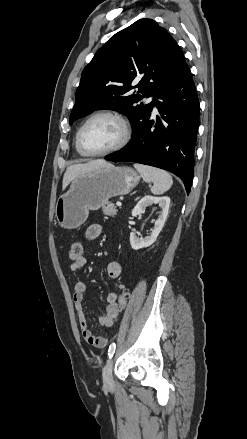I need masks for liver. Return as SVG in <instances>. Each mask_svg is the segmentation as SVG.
<instances>
[{
	"mask_svg": "<svg viewBox=\"0 0 247 439\" xmlns=\"http://www.w3.org/2000/svg\"><path fill=\"white\" fill-rule=\"evenodd\" d=\"M110 165V163L103 159L92 160L84 164L71 165L64 174L62 189L65 190L69 183L76 177Z\"/></svg>",
	"mask_w": 247,
	"mask_h": 439,
	"instance_id": "6515ba94",
	"label": "liver"
}]
</instances>
